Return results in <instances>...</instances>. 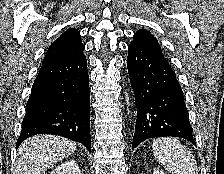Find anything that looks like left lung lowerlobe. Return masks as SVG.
Segmentation results:
<instances>
[{"label":"left lung lower lobe","mask_w":224,"mask_h":174,"mask_svg":"<svg viewBox=\"0 0 224 174\" xmlns=\"http://www.w3.org/2000/svg\"><path fill=\"white\" fill-rule=\"evenodd\" d=\"M127 68L137 119L132 148L149 138L181 137L195 145L183 91L159 47L128 46Z\"/></svg>","instance_id":"obj_1"}]
</instances>
